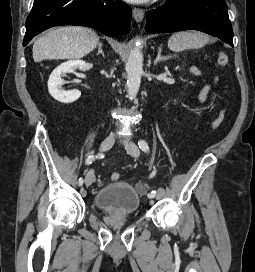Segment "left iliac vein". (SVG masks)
Returning a JSON list of instances; mask_svg holds the SVG:
<instances>
[{"mask_svg":"<svg viewBox=\"0 0 255 272\" xmlns=\"http://www.w3.org/2000/svg\"><path fill=\"white\" fill-rule=\"evenodd\" d=\"M125 149L130 154L132 157H138L140 154V150L136 144L133 142H129L125 144ZM164 195V189L163 188H158L155 197L157 199L162 198Z\"/></svg>","mask_w":255,"mask_h":272,"instance_id":"4c4485c4","label":"left iliac vein"}]
</instances>
